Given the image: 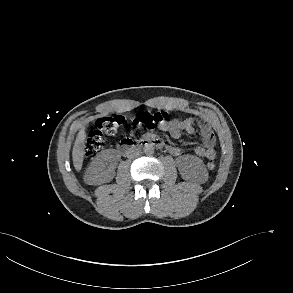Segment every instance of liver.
<instances>
[{"label":"liver","instance_id":"liver-1","mask_svg":"<svg viewBox=\"0 0 293 293\" xmlns=\"http://www.w3.org/2000/svg\"><path fill=\"white\" fill-rule=\"evenodd\" d=\"M85 155V128L83 127L77 134L73 150L72 159L76 171H80L82 168Z\"/></svg>","mask_w":293,"mask_h":293}]
</instances>
